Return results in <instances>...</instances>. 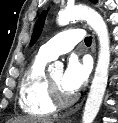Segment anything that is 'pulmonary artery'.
Segmentation results:
<instances>
[{"label":"pulmonary artery","instance_id":"obj_1","mask_svg":"<svg viewBox=\"0 0 118 123\" xmlns=\"http://www.w3.org/2000/svg\"><path fill=\"white\" fill-rule=\"evenodd\" d=\"M84 35V31L80 28H71L60 32L40 47L39 54L53 60L59 55L72 50L84 38Z\"/></svg>","mask_w":118,"mask_h":123}]
</instances>
